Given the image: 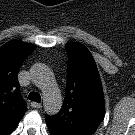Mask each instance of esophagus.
<instances>
[{"label": "esophagus", "mask_w": 135, "mask_h": 135, "mask_svg": "<svg viewBox=\"0 0 135 135\" xmlns=\"http://www.w3.org/2000/svg\"><path fill=\"white\" fill-rule=\"evenodd\" d=\"M31 106H32L33 108H41V107H42L41 103H37V102H32V103H31Z\"/></svg>", "instance_id": "34e87169"}]
</instances>
